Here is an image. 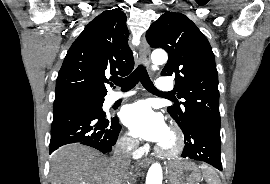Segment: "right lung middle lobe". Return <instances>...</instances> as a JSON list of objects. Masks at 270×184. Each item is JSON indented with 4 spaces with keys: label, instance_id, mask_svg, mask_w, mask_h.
Wrapping results in <instances>:
<instances>
[{
    "label": "right lung middle lobe",
    "instance_id": "right-lung-middle-lobe-1",
    "mask_svg": "<svg viewBox=\"0 0 270 184\" xmlns=\"http://www.w3.org/2000/svg\"><path fill=\"white\" fill-rule=\"evenodd\" d=\"M87 100L90 102V105H92L98 114L101 116H105V113L102 110V104L104 102V97H97V96H64L55 98L54 104L59 102H65V101H75V100Z\"/></svg>",
    "mask_w": 270,
    "mask_h": 184
}]
</instances>
